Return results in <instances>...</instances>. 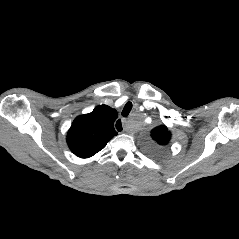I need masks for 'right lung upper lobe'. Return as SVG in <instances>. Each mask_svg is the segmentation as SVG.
<instances>
[{
  "instance_id": "right-lung-upper-lobe-1",
  "label": "right lung upper lobe",
  "mask_w": 239,
  "mask_h": 239,
  "mask_svg": "<svg viewBox=\"0 0 239 239\" xmlns=\"http://www.w3.org/2000/svg\"><path fill=\"white\" fill-rule=\"evenodd\" d=\"M117 111L100 105L85 115L77 117L68 131L67 142L78 157L88 158L102 150L118 133L114 129Z\"/></svg>"
}]
</instances>
